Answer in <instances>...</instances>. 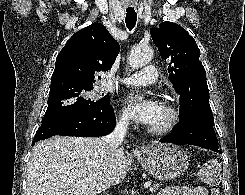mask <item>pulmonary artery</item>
Returning <instances> with one entry per match:
<instances>
[{
  "instance_id": "obj_1",
  "label": "pulmonary artery",
  "mask_w": 245,
  "mask_h": 195,
  "mask_svg": "<svg viewBox=\"0 0 245 195\" xmlns=\"http://www.w3.org/2000/svg\"><path fill=\"white\" fill-rule=\"evenodd\" d=\"M157 80L156 68L153 65L146 67L145 71L126 75L120 79L122 84L130 86H147Z\"/></svg>"
}]
</instances>
